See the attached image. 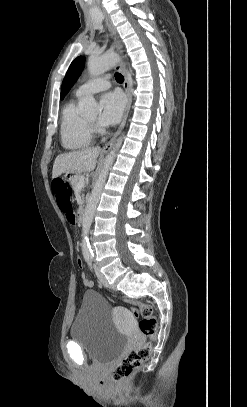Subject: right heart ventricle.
<instances>
[{"label":"right heart ventricle","mask_w":247,"mask_h":407,"mask_svg":"<svg viewBox=\"0 0 247 407\" xmlns=\"http://www.w3.org/2000/svg\"><path fill=\"white\" fill-rule=\"evenodd\" d=\"M60 137L63 147L67 150H80L92 143L93 134L85 123L76 99L68 101L63 106L60 120Z\"/></svg>","instance_id":"1"}]
</instances>
